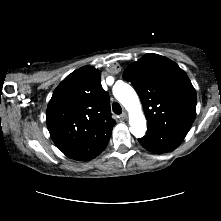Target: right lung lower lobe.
Instances as JSON below:
<instances>
[{"label":"right lung lower lobe","instance_id":"right-lung-lower-lobe-1","mask_svg":"<svg viewBox=\"0 0 221 221\" xmlns=\"http://www.w3.org/2000/svg\"><path fill=\"white\" fill-rule=\"evenodd\" d=\"M109 141V140H108ZM108 141L104 143L88 160L95 158L97 155H99L107 146Z\"/></svg>","mask_w":221,"mask_h":221}]
</instances>
